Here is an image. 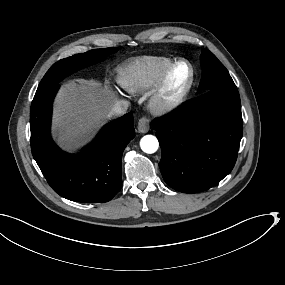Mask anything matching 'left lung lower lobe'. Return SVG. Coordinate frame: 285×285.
<instances>
[{
  "instance_id": "1",
  "label": "left lung lower lobe",
  "mask_w": 285,
  "mask_h": 285,
  "mask_svg": "<svg viewBox=\"0 0 285 285\" xmlns=\"http://www.w3.org/2000/svg\"><path fill=\"white\" fill-rule=\"evenodd\" d=\"M165 182L183 193L217 185L233 169L243 120L237 88L214 89L152 122Z\"/></svg>"
}]
</instances>
